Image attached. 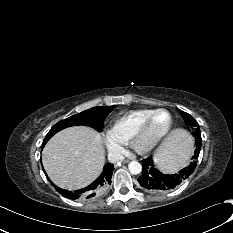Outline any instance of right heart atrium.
<instances>
[{
    "instance_id": "right-heart-atrium-1",
    "label": "right heart atrium",
    "mask_w": 233,
    "mask_h": 233,
    "mask_svg": "<svg viewBox=\"0 0 233 233\" xmlns=\"http://www.w3.org/2000/svg\"><path fill=\"white\" fill-rule=\"evenodd\" d=\"M104 143L108 152L114 156H119L123 152L122 146L110 136L104 138Z\"/></svg>"
}]
</instances>
